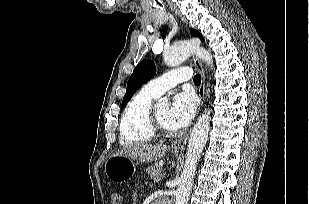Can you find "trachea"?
<instances>
[{
    "label": "trachea",
    "mask_w": 309,
    "mask_h": 204,
    "mask_svg": "<svg viewBox=\"0 0 309 204\" xmlns=\"http://www.w3.org/2000/svg\"><path fill=\"white\" fill-rule=\"evenodd\" d=\"M193 82L195 84H200L201 83V75L197 74L194 76Z\"/></svg>",
    "instance_id": "obj_1"
}]
</instances>
